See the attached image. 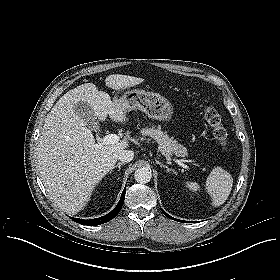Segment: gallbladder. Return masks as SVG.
Listing matches in <instances>:
<instances>
[{
	"label": "gallbladder",
	"instance_id": "1",
	"mask_svg": "<svg viewBox=\"0 0 280 280\" xmlns=\"http://www.w3.org/2000/svg\"><path fill=\"white\" fill-rule=\"evenodd\" d=\"M74 111L89 128L95 131L99 130L97 118L90 104L87 102H78L74 105Z\"/></svg>",
	"mask_w": 280,
	"mask_h": 280
}]
</instances>
